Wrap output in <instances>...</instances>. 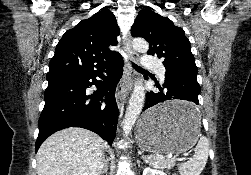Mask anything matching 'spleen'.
<instances>
[{
    "label": "spleen",
    "instance_id": "1",
    "mask_svg": "<svg viewBox=\"0 0 251 175\" xmlns=\"http://www.w3.org/2000/svg\"><path fill=\"white\" fill-rule=\"evenodd\" d=\"M193 115L194 119H200V111H196L195 109ZM194 151L195 153L192 159H190V161H186V163H180L179 169L181 175H200L208 159V153H209L208 137L202 135Z\"/></svg>",
    "mask_w": 251,
    "mask_h": 175
}]
</instances>
